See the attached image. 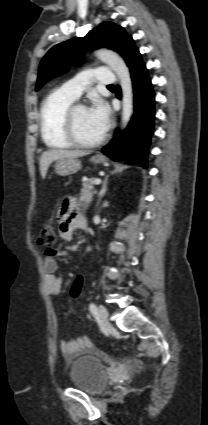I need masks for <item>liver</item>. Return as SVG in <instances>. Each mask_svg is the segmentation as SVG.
<instances>
[{
	"instance_id": "6515ba94",
	"label": "liver",
	"mask_w": 208,
	"mask_h": 425,
	"mask_svg": "<svg viewBox=\"0 0 208 425\" xmlns=\"http://www.w3.org/2000/svg\"><path fill=\"white\" fill-rule=\"evenodd\" d=\"M90 152L79 151V150H62V149H52L42 153L40 157V174L44 179L47 174L49 165L56 160L64 158H77L88 155Z\"/></svg>"
}]
</instances>
